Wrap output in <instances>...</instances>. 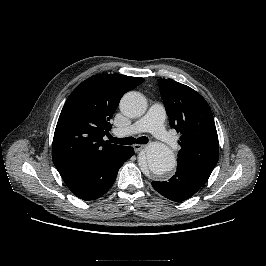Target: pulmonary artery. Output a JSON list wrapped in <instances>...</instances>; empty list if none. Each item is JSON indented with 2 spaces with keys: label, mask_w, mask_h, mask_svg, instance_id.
<instances>
[{
  "label": "pulmonary artery",
  "mask_w": 266,
  "mask_h": 266,
  "mask_svg": "<svg viewBox=\"0 0 266 266\" xmlns=\"http://www.w3.org/2000/svg\"><path fill=\"white\" fill-rule=\"evenodd\" d=\"M166 111L162 104L154 103L150 106L146 115L139 121L127 127L118 128L114 133L119 136H131L142 132H150L170 150L177 149L176 140L165 130L164 121Z\"/></svg>",
  "instance_id": "pulmonary-artery-1"
}]
</instances>
